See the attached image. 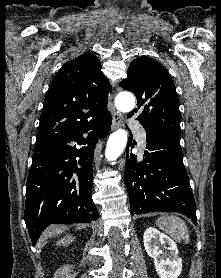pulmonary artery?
I'll use <instances>...</instances> for the list:
<instances>
[{
	"label": "pulmonary artery",
	"instance_id": "pulmonary-artery-1",
	"mask_svg": "<svg viewBox=\"0 0 221 278\" xmlns=\"http://www.w3.org/2000/svg\"><path fill=\"white\" fill-rule=\"evenodd\" d=\"M129 126L137 132V140H138L139 146L142 149H144L146 146V136H145L144 131L139 128V124L135 120H131L129 122Z\"/></svg>",
	"mask_w": 221,
	"mask_h": 278
}]
</instances>
